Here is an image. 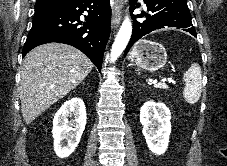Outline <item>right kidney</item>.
<instances>
[{"mask_svg": "<svg viewBox=\"0 0 227 166\" xmlns=\"http://www.w3.org/2000/svg\"><path fill=\"white\" fill-rule=\"evenodd\" d=\"M74 117L71 121L68 118ZM86 125V109L80 98L66 101L53 119L54 151L59 158L72 154L79 144Z\"/></svg>", "mask_w": 227, "mask_h": 166, "instance_id": "1", "label": "right kidney"}]
</instances>
